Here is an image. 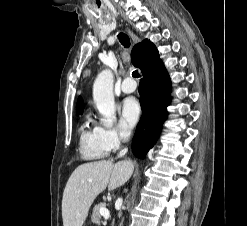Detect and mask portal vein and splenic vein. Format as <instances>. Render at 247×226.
Listing matches in <instances>:
<instances>
[{"label":"portal vein and splenic vein","mask_w":247,"mask_h":226,"mask_svg":"<svg viewBox=\"0 0 247 226\" xmlns=\"http://www.w3.org/2000/svg\"><path fill=\"white\" fill-rule=\"evenodd\" d=\"M100 214L105 218L108 219L110 217V212L106 208H101L100 209Z\"/></svg>","instance_id":"18ae733b"}]
</instances>
